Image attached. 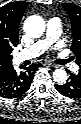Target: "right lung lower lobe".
Returning <instances> with one entry per match:
<instances>
[{
	"label": "right lung lower lobe",
	"instance_id": "obj_1",
	"mask_svg": "<svg viewBox=\"0 0 81 124\" xmlns=\"http://www.w3.org/2000/svg\"><path fill=\"white\" fill-rule=\"evenodd\" d=\"M41 64H33L22 67L17 72L13 66L0 72V96L5 98H17L29 90L34 74Z\"/></svg>",
	"mask_w": 81,
	"mask_h": 124
}]
</instances>
